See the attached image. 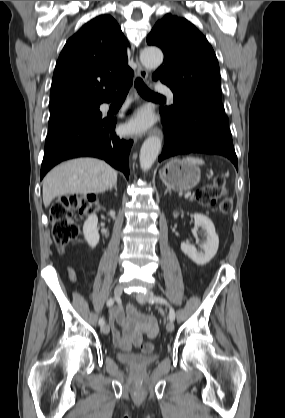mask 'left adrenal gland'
I'll return each instance as SVG.
<instances>
[{
    "instance_id": "obj_1",
    "label": "left adrenal gland",
    "mask_w": 285,
    "mask_h": 418,
    "mask_svg": "<svg viewBox=\"0 0 285 418\" xmlns=\"http://www.w3.org/2000/svg\"><path fill=\"white\" fill-rule=\"evenodd\" d=\"M168 191H169V193H171V192H170V190L166 189V190H165V194H167V193H168Z\"/></svg>"
}]
</instances>
